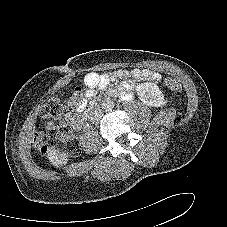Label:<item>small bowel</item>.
Returning <instances> with one entry per match:
<instances>
[{
  "label": "small bowel",
  "instance_id": "c3829d8e",
  "mask_svg": "<svg viewBox=\"0 0 227 227\" xmlns=\"http://www.w3.org/2000/svg\"><path fill=\"white\" fill-rule=\"evenodd\" d=\"M131 77L136 81L150 80V81H159L161 75L152 70L148 69H133V70H117L110 73H97L94 71L88 72L84 76V84L86 89L84 91L83 97L79 100L76 106V113L69 116V120L74 127H78L77 116L80 114L86 107L87 101L94 98L96 95L97 88H105L110 83L115 82L119 79ZM135 83L133 81H123L117 88L110 90L111 94L117 93L120 91L123 97H129L130 91L134 89Z\"/></svg>",
  "mask_w": 227,
  "mask_h": 227
}]
</instances>
